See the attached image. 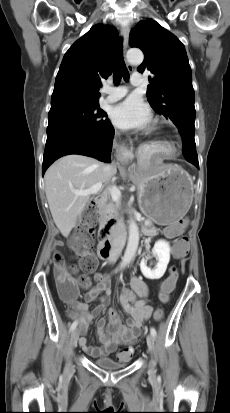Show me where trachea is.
I'll use <instances>...</instances> for the list:
<instances>
[{"instance_id":"1","label":"trachea","mask_w":230,"mask_h":413,"mask_svg":"<svg viewBox=\"0 0 230 413\" xmlns=\"http://www.w3.org/2000/svg\"><path fill=\"white\" fill-rule=\"evenodd\" d=\"M124 78L125 81L129 79V72L124 62L123 51L121 40L116 47L114 54V72H113V81L117 85L119 84L121 78Z\"/></svg>"}]
</instances>
